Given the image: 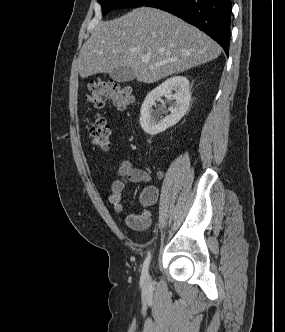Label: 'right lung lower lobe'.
Returning <instances> with one entry per match:
<instances>
[{"mask_svg":"<svg viewBox=\"0 0 285 332\" xmlns=\"http://www.w3.org/2000/svg\"><path fill=\"white\" fill-rule=\"evenodd\" d=\"M143 6L155 7L196 26L229 54L231 0H148Z\"/></svg>","mask_w":285,"mask_h":332,"instance_id":"98d812e1","label":"right lung lower lobe"}]
</instances>
